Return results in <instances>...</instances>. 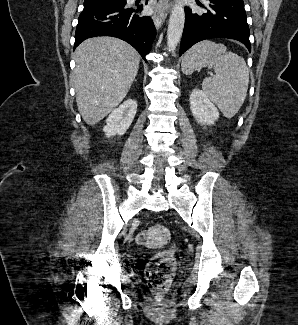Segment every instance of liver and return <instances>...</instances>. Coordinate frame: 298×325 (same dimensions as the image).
I'll use <instances>...</instances> for the list:
<instances>
[{"mask_svg": "<svg viewBox=\"0 0 298 325\" xmlns=\"http://www.w3.org/2000/svg\"><path fill=\"white\" fill-rule=\"evenodd\" d=\"M74 86L78 110L93 126L125 98L139 68L140 54L114 36H94L75 50Z\"/></svg>", "mask_w": 298, "mask_h": 325, "instance_id": "liver-1", "label": "liver"}]
</instances>
